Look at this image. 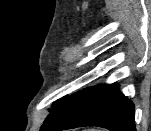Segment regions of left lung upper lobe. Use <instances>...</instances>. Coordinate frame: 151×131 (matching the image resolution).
<instances>
[{"mask_svg":"<svg viewBox=\"0 0 151 131\" xmlns=\"http://www.w3.org/2000/svg\"><path fill=\"white\" fill-rule=\"evenodd\" d=\"M65 97L60 98L59 100H57L56 102H54L52 104V109H49V112H52L54 109H56L58 106L61 105V103L63 102Z\"/></svg>","mask_w":151,"mask_h":131,"instance_id":"5c2ea615","label":"left lung upper lobe"}]
</instances>
